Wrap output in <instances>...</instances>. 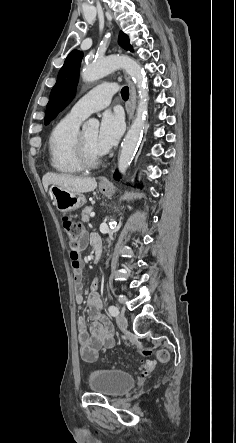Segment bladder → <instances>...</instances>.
Here are the masks:
<instances>
[{"label": "bladder", "instance_id": "obj_1", "mask_svg": "<svg viewBox=\"0 0 236 443\" xmlns=\"http://www.w3.org/2000/svg\"><path fill=\"white\" fill-rule=\"evenodd\" d=\"M87 384L94 393H101L108 397H118L134 386L135 378L121 370L98 369L90 373Z\"/></svg>", "mask_w": 236, "mask_h": 443}]
</instances>
